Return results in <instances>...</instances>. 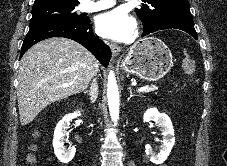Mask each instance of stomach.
Returning <instances> with one entry per match:
<instances>
[{"instance_id":"stomach-1","label":"stomach","mask_w":227,"mask_h":166,"mask_svg":"<svg viewBox=\"0 0 227 166\" xmlns=\"http://www.w3.org/2000/svg\"><path fill=\"white\" fill-rule=\"evenodd\" d=\"M172 54L158 38L147 37L137 41L125 57L122 66L126 73L146 81H157L172 67Z\"/></svg>"}]
</instances>
